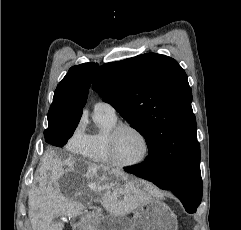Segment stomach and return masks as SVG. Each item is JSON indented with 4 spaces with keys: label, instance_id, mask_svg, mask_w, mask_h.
Returning a JSON list of instances; mask_svg holds the SVG:
<instances>
[{
    "label": "stomach",
    "instance_id": "0dacf381",
    "mask_svg": "<svg viewBox=\"0 0 241 230\" xmlns=\"http://www.w3.org/2000/svg\"><path fill=\"white\" fill-rule=\"evenodd\" d=\"M122 176L111 175V182H121ZM178 222L174 212L162 201L150 198L134 211V218L128 221L111 215L99 223L90 221L81 230H177Z\"/></svg>",
    "mask_w": 241,
    "mask_h": 230
}]
</instances>
